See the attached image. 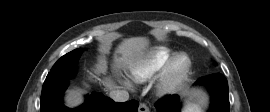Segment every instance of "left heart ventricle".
Returning a JSON list of instances; mask_svg holds the SVG:
<instances>
[{
  "label": "left heart ventricle",
  "instance_id": "left-heart-ventricle-1",
  "mask_svg": "<svg viewBox=\"0 0 270 112\" xmlns=\"http://www.w3.org/2000/svg\"><path fill=\"white\" fill-rule=\"evenodd\" d=\"M184 64H185V59H184V58H181V59H179V61L177 62L176 67H177L178 69H180V68H182V67L184 66Z\"/></svg>",
  "mask_w": 270,
  "mask_h": 112
}]
</instances>
